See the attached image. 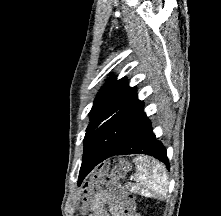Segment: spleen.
Returning a JSON list of instances; mask_svg holds the SVG:
<instances>
[{"mask_svg":"<svg viewBox=\"0 0 221 216\" xmlns=\"http://www.w3.org/2000/svg\"><path fill=\"white\" fill-rule=\"evenodd\" d=\"M134 162L137 169L135 191L145 197L166 199L169 181L165 166L149 157H137Z\"/></svg>","mask_w":221,"mask_h":216,"instance_id":"spleen-1","label":"spleen"}]
</instances>
